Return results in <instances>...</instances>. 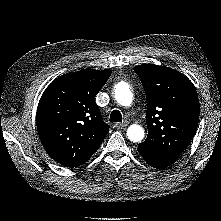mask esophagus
<instances>
[{"label": "esophagus", "mask_w": 221, "mask_h": 221, "mask_svg": "<svg viewBox=\"0 0 221 221\" xmlns=\"http://www.w3.org/2000/svg\"><path fill=\"white\" fill-rule=\"evenodd\" d=\"M126 126H128V122L127 121H124L122 123H116L115 124V127L118 128V129H122V128H125Z\"/></svg>", "instance_id": "1"}]
</instances>
